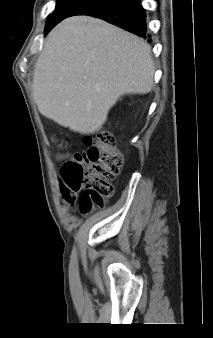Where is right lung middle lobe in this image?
Masks as SVG:
<instances>
[{
  "mask_svg": "<svg viewBox=\"0 0 213 338\" xmlns=\"http://www.w3.org/2000/svg\"><path fill=\"white\" fill-rule=\"evenodd\" d=\"M92 0H58L55 10L49 15L45 35L60 21L69 17V15L80 6L91 2Z\"/></svg>",
  "mask_w": 213,
  "mask_h": 338,
  "instance_id": "right-lung-middle-lobe-1",
  "label": "right lung middle lobe"
}]
</instances>
